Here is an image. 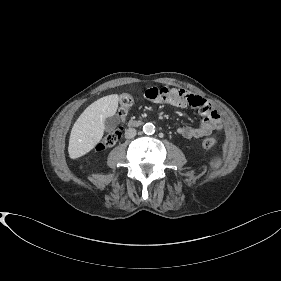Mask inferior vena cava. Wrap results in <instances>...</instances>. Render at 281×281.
Wrapping results in <instances>:
<instances>
[{
    "instance_id": "1",
    "label": "inferior vena cava",
    "mask_w": 281,
    "mask_h": 281,
    "mask_svg": "<svg viewBox=\"0 0 281 281\" xmlns=\"http://www.w3.org/2000/svg\"><path fill=\"white\" fill-rule=\"evenodd\" d=\"M136 136V129L134 128H129L125 130V137L128 139H131Z\"/></svg>"
}]
</instances>
